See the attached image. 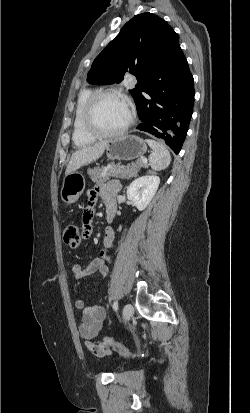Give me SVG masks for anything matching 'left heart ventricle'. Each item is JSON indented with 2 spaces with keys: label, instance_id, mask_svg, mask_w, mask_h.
<instances>
[{
  "label": "left heart ventricle",
  "instance_id": "obj_1",
  "mask_svg": "<svg viewBox=\"0 0 250 413\" xmlns=\"http://www.w3.org/2000/svg\"><path fill=\"white\" fill-rule=\"evenodd\" d=\"M130 119V109L127 103L117 97L101 98L94 111V120L98 128L112 132L124 127Z\"/></svg>",
  "mask_w": 250,
  "mask_h": 413
}]
</instances>
